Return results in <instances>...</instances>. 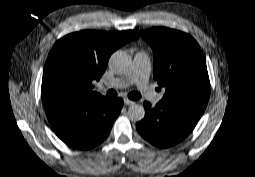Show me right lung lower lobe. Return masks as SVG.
Listing matches in <instances>:
<instances>
[{
	"label": "right lung lower lobe",
	"mask_w": 255,
	"mask_h": 177,
	"mask_svg": "<svg viewBox=\"0 0 255 177\" xmlns=\"http://www.w3.org/2000/svg\"><path fill=\"white\" fill-rule=\"evenodd\" d=\"M122 106V99H109L98 94L86 99L51 103L45 106V110L53 130L62 141L87 150L109 135Z\"/></svg>",
	"instance_id": "right-lung-lower-lobe-1"
}]
</instances>
